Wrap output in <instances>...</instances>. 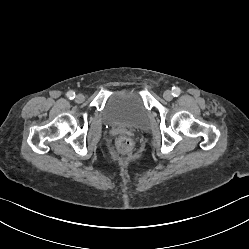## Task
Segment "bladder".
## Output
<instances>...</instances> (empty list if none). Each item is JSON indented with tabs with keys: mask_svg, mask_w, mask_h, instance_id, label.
<instances>
[{
	"mask_svg": "<svg viewBox=\"0 0 249 249\" xmlns=\"http://www.w3.org/2000/svg\"><path fill=\"white\" fill-rule=\"evenodd\" d=\"M102 119L110 126L142 128L148 123L149 111L138 90L124 88L109 94L102 110Z\"/></svg>",
	"mask_w": 249,
	"mask_h": 249,
	"instance_id": "1",
	"label": "bladder"
}]
</instances>
